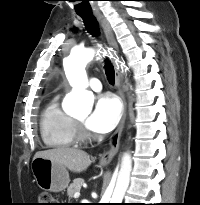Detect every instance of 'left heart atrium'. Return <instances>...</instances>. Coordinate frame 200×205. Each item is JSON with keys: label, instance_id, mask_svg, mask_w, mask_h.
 Returning <instances> with one entry per match:
<instances>
[{"label": "left heart atrium", "instance_id": "1", "mask_svg": "<svg viewBox=\"0 0 200 205\" xmlns=\"http://www.w3.org/2000/svg\"><path fill=\"white\" fill-rule=\"evenodd\" d=\"M120 116L121 106L118 100L110 94L101 95L86 120V126L96 133H108L117 125Z\"/></svg>", "mask_w": 200, "mask_h": 205}]
</instances>
